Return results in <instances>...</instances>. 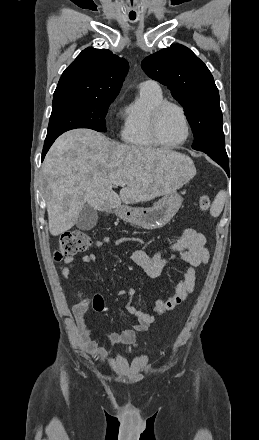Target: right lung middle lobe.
I'll return each mask as SVG.
<instances>
[{"mask_svg":"<svg viewBox=\"0 0 259 440\" xmlns=\"http://www.w3.org/2000/svg\"><path fill=\"white\" fill-rule=\"evenodd\" d=\"M114 98L81 95L54 96L46 139L75 128L106 132L105 115Z\"/></svg>","mask_w":259,"mask_h":440,"instance_id":"1","label":"right lung middle lobe"}]
</instances>
